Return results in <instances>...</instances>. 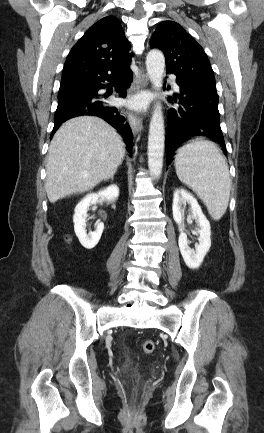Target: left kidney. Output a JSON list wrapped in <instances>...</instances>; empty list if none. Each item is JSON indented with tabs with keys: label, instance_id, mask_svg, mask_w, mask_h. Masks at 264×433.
<instances>
[{
	"label": "left kidney",
	"instance_id": "obj_1",
	"mask_svg": "<svg viewBox=\"0 0 264 433\" xmlns=\"http://www.w3.org/2000/svg\"><path fill=\"white\" fill-rule=\"evenodd\" d=\"M186 203L190 205L192 218L196 221L198 226L199 244L195 246V250L188 246L187 235L182 227L184 217L183 205ZM172 211L174 221L178 224L180 231L178 244L183 260L188 268L193 270L198 269L211 246L210 223L203 214L197 200L192 194L182 188L176 189L174 192Z\"/></svg>",
	"mask_w": 264,
	"mask_h": 433
}]
</instances>
